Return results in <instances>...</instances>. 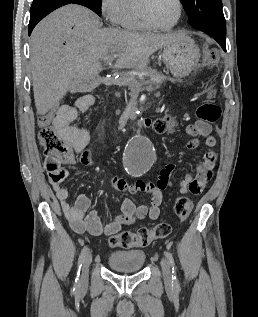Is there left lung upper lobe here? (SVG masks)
Here are the masks:
<instances>
[{
	"instance_id": "obj_1",
	"label": "left lung upper lobe",
	"mask_w": 258,
	"mask_h": 317,
	"mask_svg": "<svg viewBox=\"0 0 258 317\" xmlns=\"http://www.w3.org/2000/svg\"><path fill=\"white\" fill-rule=\"evenodd\" d=\"M189 16L188 23L196 28L225 29L221 0H180Z\"/></svg>"
}]
</instances>
